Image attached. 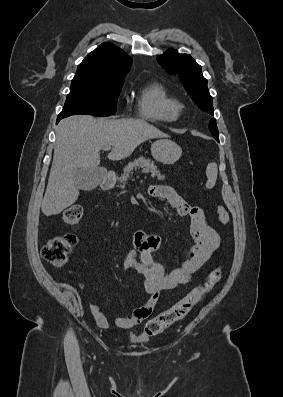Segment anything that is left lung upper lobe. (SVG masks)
Masks as SVG:
<instances>
[{
    "label": "left lung upper lobe",
    "instance_id": "1",
    "mask_svg": "<svg viewBox=\"0 0 283 397\" xmlns=\"http://www.w3.org/2000/svg\"><path fill=\"white\" fill-rule=\"evenodd\" d=\"M158 63L169 74H177L192 100L203 111L213 115V98L207 88V80L203 77L201 66L188 54H178L171 49L157 57ZM209 130L214 138L219 137L215 119L209 123Z\"/></svg>",
    "mask_w": 283,
    "mask_h": 397
}]
</instances>
